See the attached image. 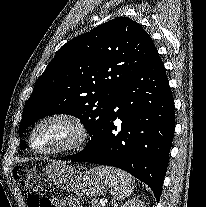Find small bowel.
Here are the masks:
<instances>
[{
  "mask_svg": "<svg viewBox=\"0 0 206 207\" xmlns=\"http://www.w3.org/2000/svg\"><path fill=\"white\" fill-rule=\"evenodd\" d=\"M51 202L53 207H81L79 201L72 197H54Z\"/></svg>",
  "mask_w": 206,
  "mask_h": 207,
  "instance_id": "small-bowel-1",
  "label": "small bowel"
}]
</instances>
